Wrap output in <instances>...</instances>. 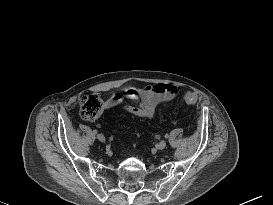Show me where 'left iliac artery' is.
Here are the masks:
<instances>
[{"label":"left iliac artery","mask_w":273,"mask_h":205,"mask_svg":"<svg viewBox=\"0 0 273 205\" xmlns=\"http://www.w3.org/2000/svg\"><path fill=\"white\" fill-rule=\"evenodd\" d=\"M169 137V135L168 134H165V138H168Z\"/></svg>","instance_id":"left-iliac-artery-1"}]
</instances>
